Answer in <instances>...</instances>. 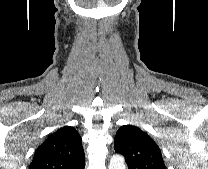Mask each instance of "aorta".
Instances as JSON below:
<instances>
[{
    "instance_id": "aorta-1",
    "label": "aorta",
    "mask_w": 208,
    "mask_h": 169,
    "mask_svg": "<svg viewBox=\"0 0 208 169\" xmlns=\"http://www.w3.org/2000/svg\"><path fill=\"white\" fill-rule=\"evenodd\" d=\"M125 160L121 155H114L109 164V169H125Z\"/></svg>"
}]
</instances>
